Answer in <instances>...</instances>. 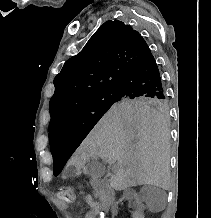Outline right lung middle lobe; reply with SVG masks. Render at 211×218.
Instances as JSON below:
<instances>
[{"label":"right lung middle lobe","mask_w":211,"mask_h":218,"mask_svg":"<svg viewBox=\"0 0 211 218\" xmlns=\"http://www.w3.org/2000/svg\"><path fill=\"white\" fill-rule=\"evenodd\" d=\"M112 105L134 107L147 105L161 112L168 110L166 98L137 97L128 98L118 96L111 91L92 99H89L59 116L49 125L50 146L64 143H73L79 146L100 118ZM65 163L54 162V175L57 176L63 169Z\"/></svg>","instance_id":"dd1d6c3e"}]
</instances>
